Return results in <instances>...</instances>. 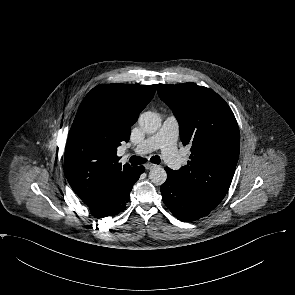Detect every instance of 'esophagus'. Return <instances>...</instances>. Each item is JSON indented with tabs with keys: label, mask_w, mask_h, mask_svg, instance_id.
Segmentation results:
<instances>
[{
	"label": "esophagus",
	"mask_w": 295,
	"mask_h": 295,
	"mask_svg": "<svg viewBox=\"0 0 295 295\" xmlns=\"http://www.w3.org/2000/svg\"><path fill=\"white\" fill-rule=\"evenodd\" d=\"M156 166H157V165L152 164V163H147V164H145V168H146L147 170H151V169L155 168Z\"/></svg>",
	"instance_id": "esophagus-1"
}]
</instances>
